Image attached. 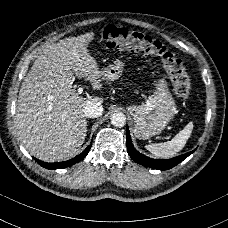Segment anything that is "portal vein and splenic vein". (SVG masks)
Wrapping results in <instances>:
<instances>
[{
  "label": "portal vein and splenic vein",
  "instance_id": "18ae733b",
  "mask_svg": "<svg viewBox=\"0 0 228 228\" xmlns=\"http://www.w3.org/2000/svg\"><path fill=\"white\" fill-rule=\"evenodd\" d=\"M74 91L77 93V94H82L83 91H84V88L82 86H76L74 88Z\"/></svg>",
  "mask_w": 228,
  "mask_h": 228
}]
</instances>
